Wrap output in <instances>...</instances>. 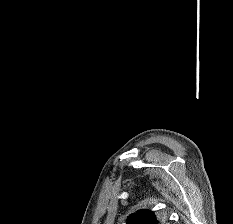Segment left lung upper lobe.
I'll list each match as a JSON object with an SVG mask.
<instances>
[{
	"instance_id": "obj_1",
	"label": "left lung upper lobe",
	"mask_w": 233,
	"mask_h": 224,
	"mask_svg": "<svg viewBox=\"0 0 233 224\" xmlns=\"http://www.w3.org/2000/svg\"><path fill=\"white\" fill-rule=\"evenodd\" d=\"M127 224H165V221L154 212L142 209L131 214L127 219Z\"/></svg>"
}]
</instances>
